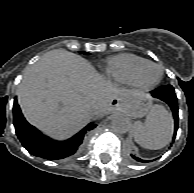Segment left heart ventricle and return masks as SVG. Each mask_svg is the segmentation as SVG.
Wrapping results in <instances>:
<instances>
[{"instance_id":"1","label":"left heart ventricle","mask_w":194,"mask_h":193,"mask_svg":"<svg viewBox=\"0 0 194 193\" xmlns=\"http://www.w3.org/2000/svg\"><path fill=\"white\" fill-rule=\"evenodd\" d=\"M159 76V70L155 67H147L142 75L144 82L150 83L155 81Z\"/></svg>"}]
</instances>
